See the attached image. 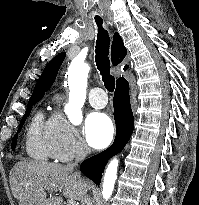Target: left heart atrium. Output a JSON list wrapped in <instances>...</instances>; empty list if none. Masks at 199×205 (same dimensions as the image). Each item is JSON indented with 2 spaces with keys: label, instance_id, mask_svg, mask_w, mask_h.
Returning a JSON list of instances; mask_svg holds the SVG:
<instances>
[{
  "label": "left heart atrium",
  "instance_id": "obj_1",
  "mask_svg": "<svg viewBox=\"0 0 199 205\" xmlns=\"http://www.w3.org/2000/svg\"><path fill=\"white\" fill-rule=\"evenodd\" d=\"M84 134L91 147L101 149L111 142L114 135V126L105 113L93 112L85 120Z\"/></svg>",
  "mask_w": 199,
  "mask_h": 205
}]
</instances>
